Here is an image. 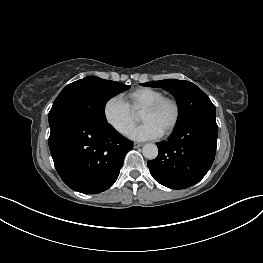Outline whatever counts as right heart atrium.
<instances>
[{"instance_id": "obj_1", "label": "right heart atrium", "mask_w": 263, "mask_h": 263, "mask_svg": "<svg viewBox=\"0 0 263 263\" xmlns=\"http://www.w3.org/2000/svg\"><path fill=\"white\" fill-rule=\"evenodd\" d=\"M103 116L108 125L121 135H126L136 121L134 111L120 95L105 101Z\"/></svg>"}]
</instances>
